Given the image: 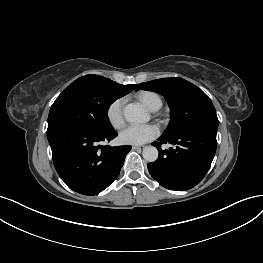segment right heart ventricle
Returning a JSON list of instances; mask_svg holds the SVG:
<instances>
[{
    "label": "right heart ventricle",
    "instance_id": "obj_1",
    "mask_svg": "<svg viewBox=\"0 0 263 263\" xmlns=\"http://www.w3.org/2000/svg\"><path fill=\"white\" fill-rule=\"evenodd\" d=\"M137 98L152 111H156L162 106L160 96L152 91H140L137 93Z\"/></svg>",
    "mask_w": 263,
    "mask_h": 263
}]
</instances>
